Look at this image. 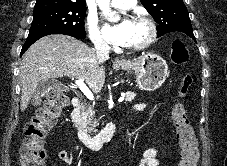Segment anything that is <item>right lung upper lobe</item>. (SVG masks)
I'll return each instance as SVG.
<instances>
[{
    "label": "right lung upper lobe",
    "instance_id": "cb5924a9",
    "mask_svg": "<svg viewBox=\"0 0 227 166\" xmlns=\"http://www.w3.org/2000/svg\"><path fill=\"white\" fill-rule=\"evenodd\" d=\"M44 4H71L78 6H86L85 0H36L35 5H44Z\"/></svg>",
    "mask_w": 227,
    "mask_h": 166
}]
</instances>
